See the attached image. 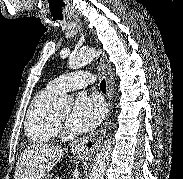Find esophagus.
Wrapping results in <instances>:
<instances>
[{
	"instance_id": "obj_1",
	"label": "esophagus",
	"mask_w": 183,
	"mask_h": 179,
	"mask_svg": "<svg viewBox=\"0 0 183 179\" xmlns=\"http://www.w3.org/2000/svg\"><path fill=\"white\" fill-rule=\"evenodd\" d=\"M97 64L101 67L102 73L106 79V86H107V100L109 106H111V98L113 95V76L109 69L108 64L106 63L105 55L102 50L99 48L96 57ZM108 126V119L103 124V127L91 133L90 135L83 137L77 141H75L72 145V150L78 154H93L95 153L105 136L106 129Z\"/></svg>"
}]
</instances>
